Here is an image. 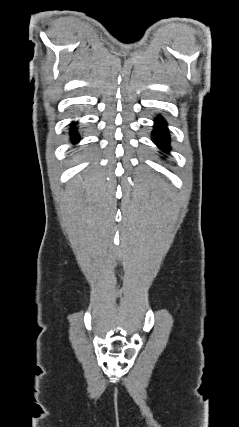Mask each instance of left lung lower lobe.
<instances>
[{"instance_id": "0a47b994", "label": "left lung lower lobe", "mask_w": 239, "mask_h": 427, "mask_svg": "<svg viewBox=\"0 0 239 427\" xmlns=\"http://www.w3.org/2000/svg\"><path fill=\"white\" fill-rule=\"evenodd\" d=\"M152 139L154 143L159 146L162 150H169V134L166 128V122L158 117L155 123V129L152 132Z\"/></svg>"}]
</instances>
